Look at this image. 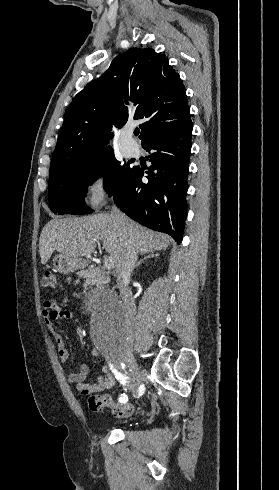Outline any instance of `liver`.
<instances>
[{
  "label": "liver",
  "mask_w": 279,
  "mask_h": 490,
  "mask_svg": "<svg viewBox=\"0 0 279 490\" xmlns=\"http://www.w3.org/2000/svg\"><path fill=\"white\" fill-rule=\"evenodd\" d=\"M98 240L116 264L118 274L125 262L129 242L134 240L137 252L151 254L167 250L170 236L152 232L127 218L125 226H116L110 214H97L86 218H55L44 226L39 240L41 264H47L57 250L69 258H82L95 252Z\"/></svg>",
  "instance_id": "liver-1"
}]
</instances>
